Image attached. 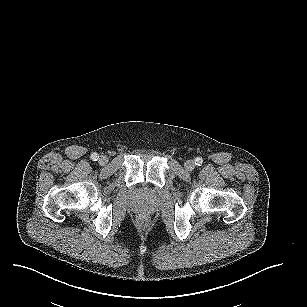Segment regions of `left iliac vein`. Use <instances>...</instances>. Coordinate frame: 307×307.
<instances>
[{
  "label": "left iliac vein",
  "instance_id": "left-iliac-vein-1",
  "mask_svg": "<svg viewBox=\"0 0 307 307\" xmlns=\"http://www.w3.org/2000/svg\"><path fill=\"white\" fill-rule=\"evenodd\" d=\"M184 166H185V169H186V170L192 171V170H194V168H195V163H194V161H192V160H187V161L185 162Z\"/></svg>",
  "mask_w": 307,
  "mask_h": 307
}]
</instances>
